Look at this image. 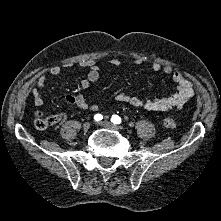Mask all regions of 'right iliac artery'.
<instances>
[{
  "label": "right iliac artery",
  "mask_w": 221,
  "mask_h": 221,
  "mask_svg": "<svg viewBox=\"0 0 221 221\" xmlns=\"http://www.w3.org/2000/svg\"><path fill=\"white\" fill-rule=\"evenodd\" d=\"M103 119V116L101 115V114H96L95 116H94V120L95 121H100V120H102Z\"/></svg>",
  "instance_id": "1"
}]
</instances>
